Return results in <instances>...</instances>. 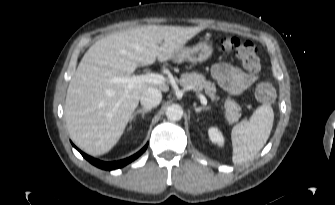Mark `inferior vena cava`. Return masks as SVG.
I'll return each instance as SVG.
<instances>
[{
    "mask_svg": "<svg viewBox=\"0 0 335 205\" xmlns=\"http://www.w3.org/2000/svg\"><path fill=\"white\" fill-rule=\"evenodd\" d=\"M162 94L157 88H147L140 97V102L145 108H153L160 104Z\"/></svg>",
    "mask_w": 335,
    "mask_h": 205,
    "instance_id": "1",
    "label": "inferior vena cava"
}]
</instances>
